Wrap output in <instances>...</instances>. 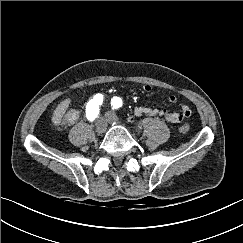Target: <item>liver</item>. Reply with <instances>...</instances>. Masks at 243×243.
Masks as SVG:
<instances>
[{
    "label": "liver",
    "mask_w": 243,
    "mask_h": 243,
    "mask_svg": "<svg viewBox=\"0 0 243 243\" xmlns=\"http://www.w3.org/2000/svg\"><path fill=\"white\" fill-rule=\"evenodd\" d=\"M70 103V99H65L60 104H58L57 108L55 109L53 116H52V122L54 125H59L61 123L63 114L66 112V109L68 108Z\"/></svg>",
    "instance_id": "obj_1"
}]
</instances>
